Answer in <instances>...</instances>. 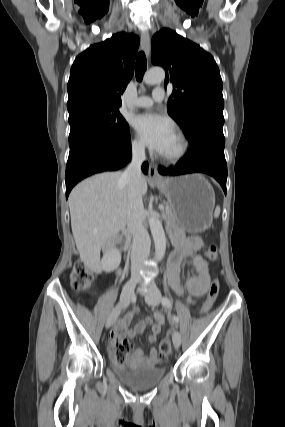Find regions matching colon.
Returning a JSON list of instances; mask_svg holds the SVG:
<instances>
[{"instance_id": "colon-1", "label": "colon", "mask_w": 285, "mask_h": 427, "mask_svg": "<svg viewBox=\"0 0 285 427\" xmlns=\"http://www.w3.org/2000/svg\"><path fill=\"white\" fill-rule=\"evenodd\" d=\"M206 257L210 261H216L218 259L217 247L215 245H210L206 248L205 251ZM93 273L87 268V266L82 261L75 262L71 275L70 282L72 289L77 292H85L87 291L93 282ZM220 290V284L217 278L213 279L207 298L200 309V314L207 313L212 307L213 303L218 297ZM129 345L127 342L116 346L111 352L110 355L114 358V360L118 363H124L129 354ZM172 346L169 338H165L159 345V361L162 362L166 360L168 355L171 353Z\"/></svg>"}]
</instances>
